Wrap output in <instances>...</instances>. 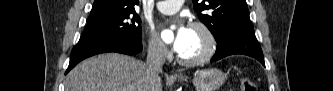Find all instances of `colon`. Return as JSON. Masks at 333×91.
<instances>
[{
    "mask_svg": "<svg viewBox=\"0 0 333 91\" xmlns=\"http://www.w3.org/2000/svg\"><path fill=\"white\" fill-rule=\"evenodd\" d=\"M242 91H257V86L254 81L249 78H243L241 81Z\"/></svg>",
    "mask_w": 333,
    "mask_h": 91,
    "instance_id": "colon-1",
    "label": "colon"
}]
</instances>
